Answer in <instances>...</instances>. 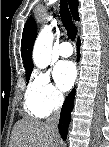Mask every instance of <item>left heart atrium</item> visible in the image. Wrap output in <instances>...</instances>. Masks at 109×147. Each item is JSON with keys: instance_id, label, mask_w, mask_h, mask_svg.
Here are the masks:
<instances>
[{"instance_id": "39dd6f15", "label": "left heart atrium", "mask_w": 109, "mask_h": 147, "mask_svg": "<svg viewBox=\"0 0 109 147\" xmlns=\"http://www.w3.org/2000/svg\"><path fill=\"white\" fill-rule=\"evenodd\" d=\"M53 76L57 86L63 90H69L76 77V69L72 62L70 61H63L58 63L53 71Z\"/></svg>"}]
</instances>
